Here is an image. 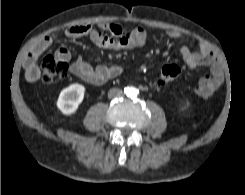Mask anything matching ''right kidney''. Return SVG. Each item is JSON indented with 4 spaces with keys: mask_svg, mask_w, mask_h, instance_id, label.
Masks as SVG:
<instances>
[{
    "mask_svg": "<svg viewBox=\"0 0 245 195\" xmlns=\"http://www.w3.org/2000/svg\"><path fill=\"white\" fill-rule=\"evenodd\" d=\"M85 87L74 83L64 88L57 100V107L64 115L75 113L84 99Z\"/></svg>",
    "mask_w": 245,
    "mask_h": 195,
    "instance_id": "right-kidney-1",
    "label": "right kidney"
}]
</instances>
